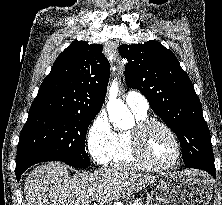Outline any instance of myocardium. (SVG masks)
I'll list each match as a JSON object with an SVG mask.
<instances>
[{
  "mask_svg": "<svg viewBox=\"0 0 222 205\" xmlns=\"http://www.w3.org/2000/svg\"><path fill=\"white\" fill-rule=\"evenodd\" d=\"M154 127H160L164 129L174 141L176 147V155L174 160L167 165H161L154 162L147 154V151L145 149V136L147 132ZM131 136L135 155L140 161H142L150 168L157 171H169L174 169L179 164L182 156L181 143L175 131L165 122L155 119H145L139 121L131 130Z\"/></svg>",
  "mask_w": 222,
  "mask_h": 205,
  "instance_id": "obj_1",
  "label": "myocardium"
}]
</instances>
